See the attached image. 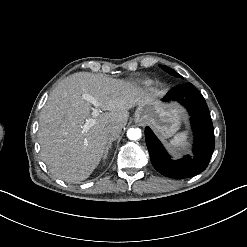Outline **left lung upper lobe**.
<instances>
[{
  "instance_id": "left-lung-upper-lobe-1",
  "label": "left lung upper lobe",
  "mask_w": 247,
  "mask_h": 247,
  "mask_svg": "<svg viewBox=\"0 0 247 247\" xmlns=\"http://www.w3.org/2000/svg\"><path fill=\"white\" fill-rule=\"evenodd\" d=\"M160 67L165 70L166 72H168L169 74L173 75V76H176V77H181L177 72H175L173 69L167 67V66H164V65H160Z\"/></svg>"
}]
</instances>
